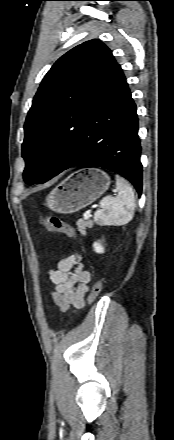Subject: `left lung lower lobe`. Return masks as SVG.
<instances>
[{
  "instance_id": "0a47b994",
  "label": "left lung lower lobe",
  "mask_w": 174,
  "mask_h": 440,
  "mask_svg": "<svg viewBox=\"0 0 174 440\" xmlns=\"http://www.w3.org/2000/svg\"><path fill=\"white\" fill-rule=\"evenodd\" d=\"M141 145L136 105L125 75L117 65L111 82L92 106L76 154L61 172L74 166H97L114 171L142 192Z\"/></svg>"
}]
</instances>
